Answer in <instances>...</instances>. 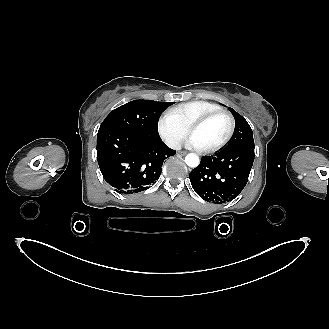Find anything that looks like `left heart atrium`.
<instances>
[{"instance_id":"obj_1","label":"left heart atrium","mask_w":329,"mask_h":329,"mask_svg":"<svg viewBox=\"0 0 329 329\" xmlns=\"http://www.w3.org/2000/svg\"><path fill=\"white\" fill-rule=\"evenodd\" d=\"M185 145L190 147V148H195V149H201L197 140L192 136L190 135L186 141H185Z\"/></svg>"}]
</instances>
